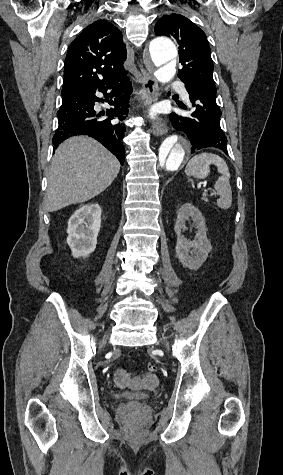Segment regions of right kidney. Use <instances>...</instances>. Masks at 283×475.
<instances>
[{"label": "right kidney", "instance_id": "ca27d5eb", "mask_svg": "<svg viewBox=\"0 0 283 475\" xmlns=\"http://www.w3.org/2000/svg\"><path fill=\"white\" fill-rule=\"evenodd\" d=\"M99 204H85L68 220L67 243L73 257H88L96 247L101 226Z\"/></svg>", "mask_w": 283, "mask_h": 475}]
</instances>
